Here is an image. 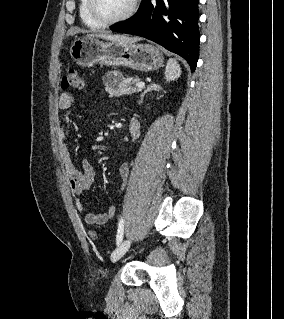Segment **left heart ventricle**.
Returning a JSON list of instances; mask_svg holds the SVG:
<instances>
[{
	"label": "left heart ventricle",
	"instance_id": "obj_1",
	"mask_svg": "<svg viewBox=\"0 0 284 319\" xmlns=\"http://www.w3.org/2000/svg\"><path fill=\"white\" fill-rule=\"evenodd\" d=\"M131 0H97L99 12L106 18H115L123 14Z\"/></svg>",
	"mask_w": 284,
	"mask_h": 319
}]
</instances>
